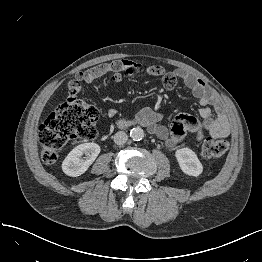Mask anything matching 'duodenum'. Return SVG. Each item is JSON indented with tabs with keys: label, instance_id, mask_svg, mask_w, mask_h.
Wrapping results in <instances>:
<instances>
[{
	"label": "duodenum",
	"instance_id": "410a0bca",
	"mask_svg": "<svg viewBox=\"0 0 262 262\" xmlns=\"http://www.w3.org/2000/svg\"><path fill=\"white\" fill-rule=\"evenodd\" d=\"M134 124H140L142 126H144V124H142L141 122L139 121H132V120H128V119H121L118 123V127L119 128H127V127H130Z\"/></svg>",
	"mask_w": 262,
	"mask_h": 262
}]
</instances>
